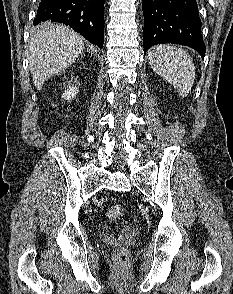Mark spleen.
Instances as JSON below:
<instances>
[{
    "label": "spleen",
    "instance_id": "1",
    "mask_svg": "<svg viewBox=\"0 0 233 294\" xmlns=\"http://www.w3.org/2000/svg\"><path fill=\"white\" fill-rule=\"evenodd\" d=\"M153 71L168 81L182 97H186L195 80V66L190 55L171 45H157L148 52Z\"/></svg>",
    "mask_w": 233,
    "mask_h": 294
}]
</instances>
